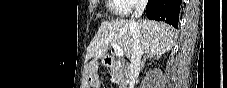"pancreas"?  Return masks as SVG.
Here are the masks:
<instances>
[{"mask_svg": "<svg viewBox=\"0 0 227 88\" xmlns=\"http://www.w3.org/2000/svg\"><path fill=\"white\" fill-rule=\"evenodd\" d=\"M111 73L116 83H119L120 85L126 88L128 81V74L126 70L121 67H112Z\"/></svg>", "mask_w": 227, "mask_h": 88, "instance_id": "cf45deb5", "label": "pancreas"}]
</instances>
